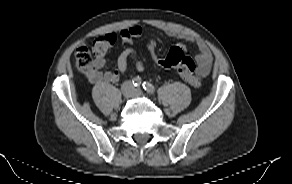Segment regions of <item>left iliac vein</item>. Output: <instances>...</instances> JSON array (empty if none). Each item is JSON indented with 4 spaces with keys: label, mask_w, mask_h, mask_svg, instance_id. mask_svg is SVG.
<instances>
[{
    "label": "left iliac vein",
    "mask_w": 292,
    "mask_h": 184,
    "mask_svg": "<svg viewBox=\"0 0 292 184\" xmlns=\"http://www.w3.org/2000/svg\"><path fill=\"white\" fill-rule=\"evenodd\" d=\"M142 93H143V92H142L141 89H135V90H134V95L137 96V97L141 96Z\"/></svg>",
    "instance_id": "left-iliac-vein-1"
}]
</instances>
